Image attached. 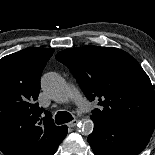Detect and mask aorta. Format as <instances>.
Listing matches in <instances>:
<instances>
[{
	"label": "aorta",
	"instance_id": "obj_1",
	"mask_svg": "<svg viewBox=\"0 0 155 155\" xmlns=\"http://www.w3.org/2000/svg\"><path fill=\"white\" fill-rule=\"evenodd\" d=\"M43 90L55 101L65 102L70 96V88L64 78L55 72L46 73L41 80ZM94 123L87 119L79 122L78 129L83 135H89L93 132Z\"/></svg>",
	"mask_w": 155,
	"mask_h": 155
}]
</instances>
